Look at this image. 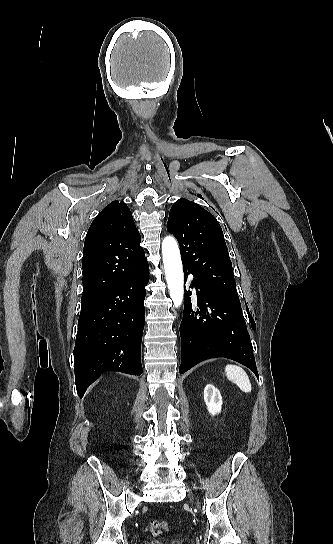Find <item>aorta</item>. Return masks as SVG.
<instances>
[{"instance_id":"obj_1","label":"aorta","mask_w":333,"mask_h":544,"mask_svg":"<svg viewBox=\"0 0 333 544\" xmlns=\"http://www.w3.org/2000/svg\"><path fill=\"white\" fill-rule=\"evenodd\" d=\"M162 255L169 294L177 307L183 301L184 278L178 244L173 237L163 240Z\"/></svg>"}]
</instances>
